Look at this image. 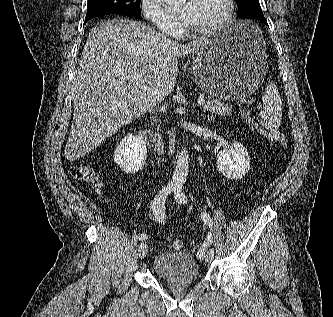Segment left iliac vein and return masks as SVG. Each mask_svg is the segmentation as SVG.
Here are the masks:
<instances>
[{
	"instance_id": "obj_1",
	"label": "left iliac vein",
	"mask_w": 333,
	"mask_h": 317,
	"mask_svg": "<svg viewBox=\"0 0 333 317\" xmlns=\"http://www.w3.org/2000/svg\"><path fill=\"white\" fill-rule=\"evenodd\" d=\"M213 257H214V253L211 252V251H208V252L206 253V255H205V260H206L207 262H210V261H212Z\"/></svg>"
}]
</instances>
